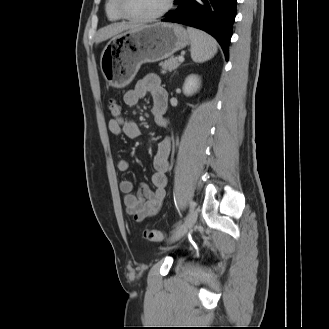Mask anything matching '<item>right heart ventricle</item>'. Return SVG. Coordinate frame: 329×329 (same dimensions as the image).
I'll return each instance as SVG.
<instances>
[{
	"label": "right heart ventricle",
	"mask_w": 329,
	"mask_h": 329,
	"mask_svg": "<svg viewBox=\"0 0 329 329\" xmlns=\"http://www.w3.org/2000/svg\"><path fill=\"white\" fill-rule=\"evenodd\" d=\"M106 14L110 21H120L123 19L122 15L117 9L116 0H107L106 2Z\"/></svg>",
	"instance_id": "e07e8e85"
}]
</instances>
